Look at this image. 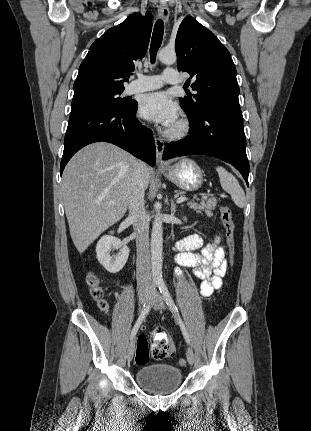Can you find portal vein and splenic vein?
I'll list each match as a JSON object with an SVG mask.
<instances>
[{"label": "portal vein and splenic vein", "mask_w": 311, "mask_h": 431, "mask_svg": "<svg viewBox=\"0 0 311 431\" xmlns=\"http://www.w3.org/2000/svg\"><path fill=\"white\" fill-rule=\"evenodd\" d=\"M182 202H187V198H178L176 204H182ZM110 206H114V202H109Z\"/></svg>", "instance_id": "18ae733b"}]
</instances>
